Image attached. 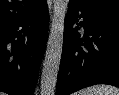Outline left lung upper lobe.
Instances as JSON below:
<instances>
[{
    "label": "left lung upper lobe",
    "instance_id": "left-lung-upper-lobe-1",
    "mask_svg": "<svg viewBox=\"0 0 119 95\" xmlns=\"http://www.w3.org/2000/svg\"><path fill=\"white\" fill-rule=\"evenodd\" d=\"M99 15L119 19V0H70Z\"/></svg>",
    "mask_w": 119,
    "mask_h": 95
}]
</instances>
